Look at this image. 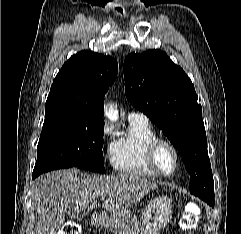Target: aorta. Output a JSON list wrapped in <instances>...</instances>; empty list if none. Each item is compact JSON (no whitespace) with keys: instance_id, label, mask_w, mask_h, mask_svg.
Segmentation results:
<instances>
[{"instance_id":"762f6f07","label":"aorta","mask_w":241,"mask_h":234,"mask_svg":"<svg viewBox=\"0 0 241 234\" xmlns=\"http://www.w3.org/2000/svg\"><path fill=\"white\" fill-rule=\"evenodd\" d=\"M105 114L108 117V119H110L111 121H117L118 120L117 110L109 109V110L106 111Z\"/></svg>"}]
</instances>
